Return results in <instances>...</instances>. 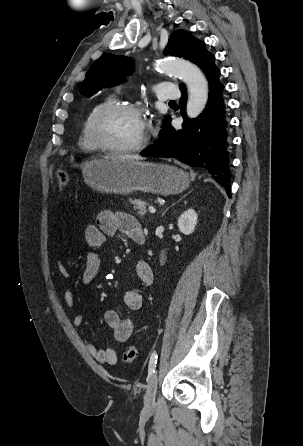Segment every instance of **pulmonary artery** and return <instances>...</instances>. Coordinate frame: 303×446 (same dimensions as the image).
Returning <instances> with one entry per match:
<instances>
[{
    "label": "pulmonary artery",
    "mask_w": 303,
    "mask_h": 446,
    "mask_svg": "<svg viewBox=\"0 0 303 446\" xmlns=\"http://www.w3.org/2000/svg\"><path fill=\"white\" fill-rule=\"evenodd\" d=\"M156 96L161 101L178 99L180 94L176 86L169 82H161L156 87Z\"/></svg>",
    "instance_id": "obj_1"
}]
</instances>
